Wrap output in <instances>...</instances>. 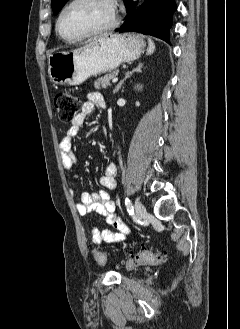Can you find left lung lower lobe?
Returning <instances> with one entry per match:
<instances>
[{
    "label": "left lung lower lobe",
    "instance_id": "1",
    "mask_svg": "<svg viewBox=\"0 0 240 329\" xmlns=\"http://www.w3.org/2000/svg\"><path fill=\"white\" fill-rule=\"evenodd\" d=\"M128 15L120 29L122 32H139L158 37L170 42L169 29L172 26V15L177 9L174 0H146L136 9V2L125 0Z\"/></svg>",
    "mask_w": 240,
    "mask_h": 329
}]
</instances>
